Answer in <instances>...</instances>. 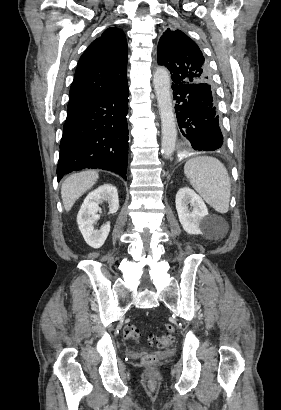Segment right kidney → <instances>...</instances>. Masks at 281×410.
Instances as JSON below:
<instances>
[{
  "mask_svg": "<svg viewBox=\"0 0 281 410\" xmlns=\"http://www.w3.org/2000/svg\"><path fill=\"white\" fill-rule=\"evenodd\" d=\"M107 202L109 213L114 214L119 208L118 192L115 186L104 184L90 192L85 198L77 215V223L86 243L93 248H100L109 232L110 222L104 224L99 230L94 229V222L99 218L97 212L99 204Z\"/></svg>",
  "mask_w": 281,
  "mask_h": 410,
  "instance_id": "obj_1",
  "label": "right kidney"
}]
</instances>
